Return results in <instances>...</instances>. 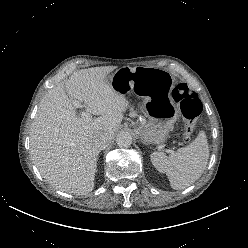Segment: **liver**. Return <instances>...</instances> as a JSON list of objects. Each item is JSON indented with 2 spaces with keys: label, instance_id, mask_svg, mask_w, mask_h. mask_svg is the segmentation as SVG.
Segmentation results:
<instances>
[{
  "label": "liver",
  "instance_id": "obj_1",
  "mask_svg": "<svg viewBox=\"0 0 248 248\" xmlns=\"http://www.w3.org/2000/svg\"><path fill=\"white\" fill-rule=\"evenodd\" d=\"M115 69L79 70L39 104L30 129V155L42 177L63 192L85 195L93 190L99 154L93 139L107 134L112 140L129 106L109 84ZM77 108L98 117L87 121L77 116Z\"/></svg>",
  "mask_w": 248,
  "mask_h": 248
}]
</instances>
